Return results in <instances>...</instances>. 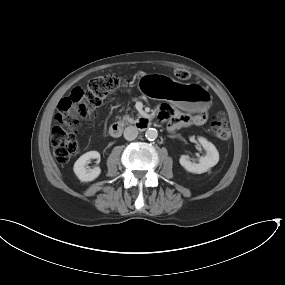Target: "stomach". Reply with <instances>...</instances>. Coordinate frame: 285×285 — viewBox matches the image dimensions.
Returning <instances> with one entry per match:
<instances>
[{
    "label": "stomach",
    "mask_w": 285,
    "mask_h": 285,
    "mask_svg": "<svg viewBox=\"0 0 285 285\" xmlns=\"http://www.w3.org/2000/svg\"><path fill=\"white\" fill-rule=\"evenodd\" d=\"M161 87L168 89L165 98L184 111L199 112L212 103L208 90L198 84L181 83L161 74H143L138 80L139 90L151 97H157Z\"/></svg>",
    "instance_id": "obj_1"
}]
</instances>
